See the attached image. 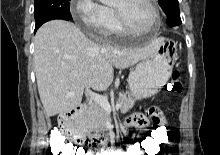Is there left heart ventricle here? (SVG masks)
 <instances>
[{"label": "left heart ventricle", "instance_id": "b2bd125f", "mask_svg": "<svg viewBox=\"0 0 220 155\" xmlns=\"http://www.w3.org/2000/svg\"><path fill=\"white\" fill-rule=\"evenodd\" d=\"M114 8L121 10L127 22L135 29H144L152 21L151 9L145 0H117Z\"/></svg>", "mask_w": 220, "mask_h": 155}]
</instances>
